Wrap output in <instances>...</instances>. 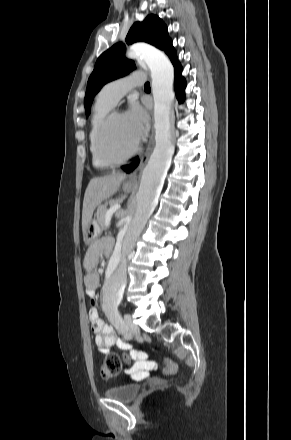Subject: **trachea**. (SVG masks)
Segmentation results:
<instances>
[{"mask_svg":"<svg viewBox=\"0 0 291 440\" xmlns=\"http://www.w3.org/2000/svg\"><path fill=\"white\" fill-rule=\"evenodd\" d=\"M144 87H145V88H150V83H149V82H146L145 85H144Z\"/></svg>","mask_w":291,"mask_h":440,"instance_id":"trachea-1","label":"trachea"}]
</instances>
